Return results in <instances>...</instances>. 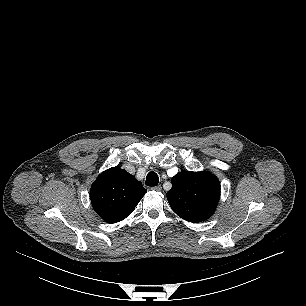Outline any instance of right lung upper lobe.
Returning a JSON list of instances; mask_svg holds the SVG:
<instances>
[{"mask_svg":"<svg viewBox=\"0 0 306 306\" xmlns=\"http://www.w3.org/2000/svg\"><path fill=\"white\" fill-rule=\"evenodd\" d=\"M147 190L140 181L119 167L101 173L90 189L95 212L106 222L125 219L142 199Z\"/></svg>","mask_w":306,"mask_h":306,"instance_id":"cb5924a9","label":"right lung upper lobe"}]
</instances>
